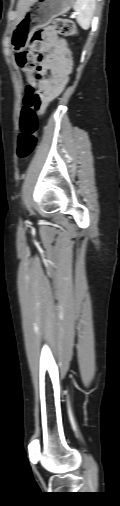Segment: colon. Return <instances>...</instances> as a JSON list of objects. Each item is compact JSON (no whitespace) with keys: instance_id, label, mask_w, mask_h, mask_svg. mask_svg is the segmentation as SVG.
<instances>
[{"instance_id":"5ec220e1","label":"colon","mask_w":120,"mask_h":506,"mask_svg":"<svg viewBox=\"0 0 120 506\" xmlns=\"http://www.w3.org/2000/svg\"><path fill=\"white\" fill-rule=\"evenodd\" d=\"M51 28L63 37H71L76 34L74 23L67 18H55L52 21ZM44 31H36L30 41L29 49L21 51L16 55L18 67L26 75V96L20 116V133L17 143V156L19 159H27L35 150L38 142L37 132L39 122L37 111L42 104V96L38 90V85L44 75L37 70V53L43 47Z\"/></svg>"}]
</instances>
